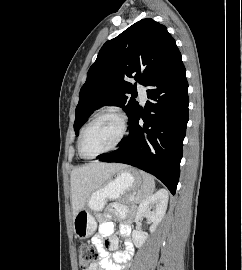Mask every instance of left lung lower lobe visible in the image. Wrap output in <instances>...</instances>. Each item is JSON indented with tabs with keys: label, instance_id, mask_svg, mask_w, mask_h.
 <instances>
[{
	"label": "left lung lower lobe",
	"instance_id": "left-lung-lower-lobe-1",
	"mask_svg": "<svg viewBox=\"0 0 242 270\" xmlns=\"http://www.w3.org/2000/svg\"><path fill=\"white\" fill-rule=\"evenodd\" d=\"M181 55L146 86L145 112L138 109L129 122L130 134L121 146L97 157L103 162L132 165L161 180L175 194L180 175L183 139L188 122V83ZM142 117L144 124L139 125Z\"/></svg>",
	"mask_w": 242,
	"mask_h": 270
}]
</instances>
